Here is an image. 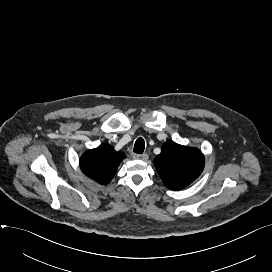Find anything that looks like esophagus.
I'll return each instance as SVG.
<instances>
[{"label": "esophagus", "instance_id": "1", "mask_svg": "<svg viewBox=\"0 0 272 272\" xmlns=\"http://www.w3.org/2000/svg\"><path fill=\"white\" fill-rule=\"evenodd\" d=\"M134 159L142 160V161H147L148 160V155L147 154H134Z\"/></svg>", "mask_w": 272, "mask_h": 272}]
</instances>
